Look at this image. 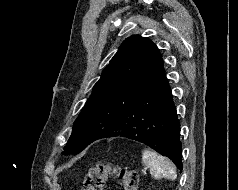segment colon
<instances>
[{
    "label": "colon",
    "instance_id": "5ec220e1",
    "mask_svg": "<svg viewBox=\"0 0 238 190\" xmlns=\"http://www.w3.org/2000/svg\"><path fill=\"white\" fill-rule=\"evenodd\" d=\"M109 178H117L124 190H137L138 174L130 168L110 162H100L89 169L84 179L83 190H103Z\"/></svg>",
    "mask_w": 238,
    "mask_h": 190
}]
</instances>
